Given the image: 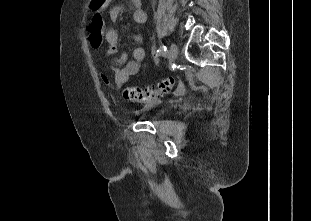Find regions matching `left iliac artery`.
Masks as SVG:
<instances>
[{
	"instance_id": "left-iliac-artery-1",
	"label": "left iliac artery",
	"mask_w": 311,
	"mask_h": 221,
	"mask_svg": "<svg viewBox=\"0 0 311 221\" xmlns=\"http://www.w3.org/2000/svg\"><path fill=\"white\" fill-rule=\"evenodd\" d=\"M167 54V49L166 46L164 44H161L159 49L156 51V55H166Z\"/></svg>"
}]
</instances>
